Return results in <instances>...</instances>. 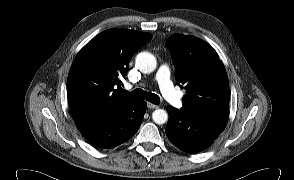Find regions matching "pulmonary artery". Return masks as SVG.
I'll list each match as a JSON object with an SVG mask.
<instances>
[{
    "mask_svg": "<svg viewBox=\"0 0 294 180\" xmlns=\"http://www.w3.org/2000/svg\"><path fill=\"white\" fill-rule=\"evenodd\" d=\"M156 80L164 97L175 107H182V99L174 90L173 84L170 81V69L166 64H162L156 73ZM131 86H128L130 89Z\"/></svg>",
    "mask_w": 294,
    "mask_h": 180,
    "instance_id": "e3ab8cb5",
    "label": "pulmonary artery"
}]
</instances>
